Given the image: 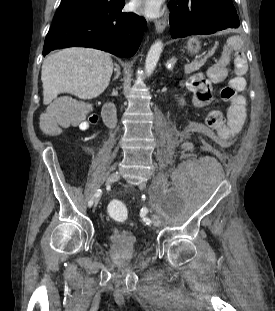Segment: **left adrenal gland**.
Returning a JSON list of instances; mask_svg holds the SVG:
<instances>
[{
  "mask_svg": "<svg viewBox=\"0 0 275 311\" xmlns=\"http://www.w3.org/2000/svg\"><path fill=\"white\" fill-rule=\"evenodd\" d=\"M176 61L177 59L175 57L170 58L166 63V67L171 69L175 65Z\"/></svg>",
  "mask_w": 275,
  "mask_h": 311,
  "instance_id": "a2214340",
  "label": "left adrenal gland"
}]
</instances>
